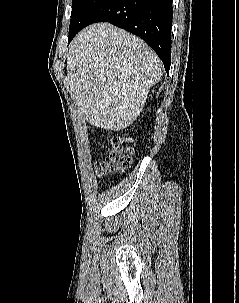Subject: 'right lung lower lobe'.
Wrapping results in <instances>:
<instances>
[{
  "label": "right lung lower lobe",
  "mask_w": 239,
  "mask_h": 303,
  "mask_svg": "<svg viewBox=\"0 0 239 303\" xmlns=\"http://www.w3.org/2000/svg\"><path fill=\"white\" fill-rule=\"evenodd\" d=\"M172 18V0H105L91 14L85 27L109 22L141 37L157 53L168 73Z\"/></svg>",
  "instance_id": "right-lung-lower-lobe-1"
}]
</instances>
